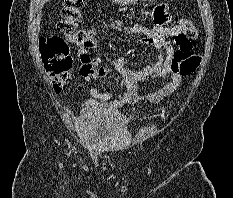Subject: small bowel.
<instances>
[{
    "mask_svg": "<svg viewBox=\"0 0 233 198\" xmlns=\"http://www.w3.org/2000/svg\"><path fill=\"white\" fill-rule=\"evenodd\" d=\"M170 20L171 17L166 5L161 4L152 13V27L143 24L126 25L120 20L111 24L114 31L136 36L139 41L148 43L155 48L154 59L141 68H132L123 56L116 57L107 65L100 56L90 55L86 47H81L80 74L84 81L91 82L104 78L113 71L122 76L121 91L118 93L101 92L95 88H90L89 93L92 99L84 103L85 108L96 109L99 106V101H109L106 107L108 111H115L125 104H137L143 101L157 103L176 90L183 76L174 69V58L178 53L191 52L192 46L184 30L178 24L170 27L165 26ZM156 76H169V80L156 91L140 95L136 84Z\"/></svg>",
    "mask_w": 233,
    "mask_h": 198,
    "instance_id": "obj_1",
    "label": "small bowel"
}]
</instances>
